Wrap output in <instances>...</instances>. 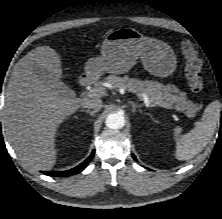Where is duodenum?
I'll use <instances>...</instances> for the list:
<instances>
[{
    "label": "duodenum",
    "instance_id": "1",
    "mask_svg": "<svg viewBox=\"0 0 222 219\" xmlns=\"http://www.w3.org/2000/svg\"><path fill=\"white\" fill-rule=\"evenodd\" d=\"M87 82L86 78H82L81 81H80V84L81 85H85Z\"/></svg>",
    "mask_w": 222,
    "mask_h": 219
}]
</instances>
